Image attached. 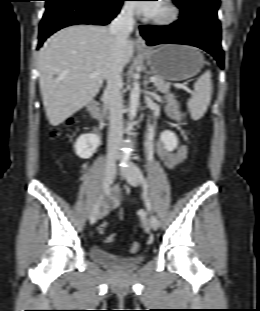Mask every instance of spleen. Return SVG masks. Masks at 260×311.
I'll list each match as a JSON object with an SVG mask.
<instances>
[{"label":"spleen","instance_id":"spleen-1","mask_svg":"<svg viewBox=\"0 0 260 311\" xmlns=\"http://www.w3.org/2000/svg\"><path fill=\"white\" fill-rule=\"evenodd\" d=\"M194 95L188 99V108L193 120H199L207 111L211 101V72L207 70L194 83Z\"/></svg>","mask_w":260,"mask_h":311}]
</instances>
